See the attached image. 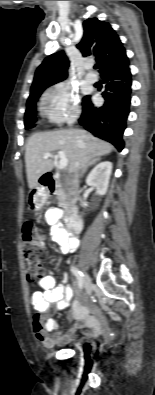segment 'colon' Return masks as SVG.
<instances>
[{"label":"colon","mask_w":155,"mask_h":395,"mask_svg":"<svg viewBox=\"0 0 155 395\" xmlns=\"http://www.w3.org/2000/svg\"><path fill=\"white\" fill-rule=\"evenodd\" d=\"M23 255L26 262V278L29 283L37 282L43 275V264L47 259L44 237L36 230L32 222L24 224L22 229Z\"/></svg>","instance_id":"5ec220e1"}]
</instances>
